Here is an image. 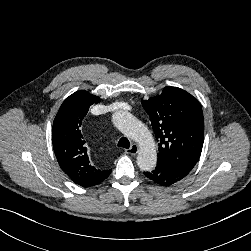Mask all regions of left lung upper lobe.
I'll return each mask as SVG.
<instances>
[{
    "instance_id": "5c2ea615",
    "label": "left lung upper lobe",
    "mask_w": 251,
    "mask_h": 251,
    "mask_svg": "<svg viewBox=\"0 0 251 251\" xmlns=\"http://www.w3.org/2000/svg\"><path fill=\"white\" fill-rule=\"evenodd\" d=\"M159 142L157 163L191 171L204 141V119L199 101L177 87H165L162 94L142 100Z\"/></svg>"
}]
</instances>
